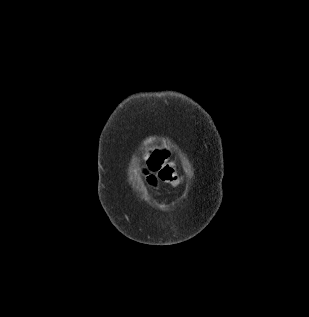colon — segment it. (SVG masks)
I'll return each instance as SVG.
<instances>
[{
  "instance_id": "5ec220e1",
  "label": "colon",
  "mask_w": 309,
  "mask_h": 317,
  "mask_svg": "<svg viewBox=\"0 0 309 317\" xmlns=\"http://www.w3.org/2000/svg\"><path fill=\"white\" fill-rule=\"evenodd\" d=\"M148 166L151 171L157 173L160 180L178 184L181 180L180 175L176 171L174 165L167 161V154L165 152H155L149 158ZM154 181V178H151Z\"/></svg>"
}]
</instances>
